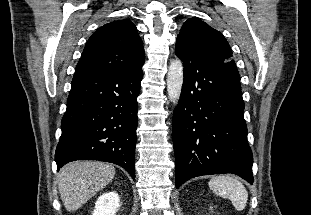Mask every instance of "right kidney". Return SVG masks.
<instances>
[{"label":"right kidney","mask_w":311,"mask_h":215,"mask_svg":"<svg viewBox=\"0 0 311 215\" xmlns=\"http://www.w3.org/2000/svg\"><path fill=\"white\" fill-rule=\"evenodd\" d=\"M120 198L116 192L102 194L95 203L92 215H116Z\"/></svg>","instance_id":"obj_1"}]
</instances>
